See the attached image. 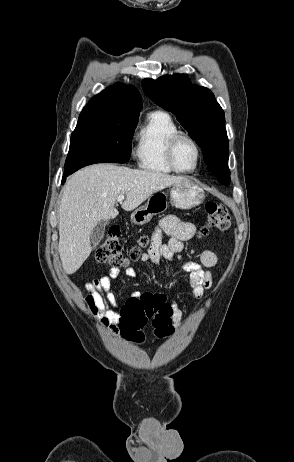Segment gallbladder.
<instances>
[{
	"instance_id": "1",
	"label": "gallbladder",
	"mask_w": 294,
	"mask_h": 462,
	"mask_svg": "<svg viewBox=\"0 0 294 462\" xmlns=\"http://www.w3.org/2000/svg\"><path fill=\"white\" fill-rule=\"evenodd\" d=\"M107 221H100L96 225V227L92 230L90 235V240L93 247H96L104 237L105 227L107 225Z\"/></svg>"
}]
</instances>
